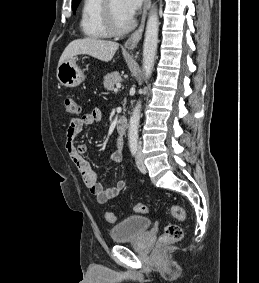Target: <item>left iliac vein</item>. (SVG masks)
<instances>
[{
	"label": "left iliac vein",
	"mask_w": 259,
	"mask_h": 283,
	"mask_svg": "<svg viewBox=\"0 0 259 283\" xmlns=\"http://www.w3.org/2000/svg\"><path fill=\"white\" fill-rule=\"evenodd\" d=\"M136 164L138 169L142 172L145 173L146 172V166L143 162V158H142V154L141 151H138L137 156H136Z\"/></svg>",
	"instance_id": "4c4485c4"
}]
</instances>
